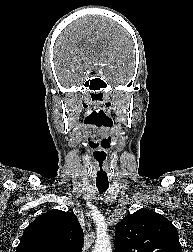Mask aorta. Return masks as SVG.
Returning a JSON list of instances; mask_svg holds the SVG:
<instances>
[{
    "label": "aorta",
    "mask_w": 193,
    "mask_h": 252,
    "mask_svg": "<svg viewBox=\"0 0 193 252\" xmlns=\"http://www.w3.org/2000/svg\"><path fill=\"white\" fill-rule=\"evenodd\" d=\"M92 252H112L109 240H97Z\"/></svg>",
    "instance_id": "762f6f07"
}]
</instances>
